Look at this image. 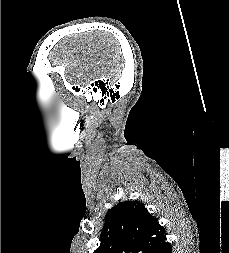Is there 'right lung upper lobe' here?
Returning a JSON list of instances; mask_svg holds the SVG:
<instances>
[{
	"mask_svg": "<svg viewBox=\"0 0 229 253\" xmlns=\"http://www.w3.org/2000/svg\"><path fill=\"white\" fill-rule=\"evenodd\" d=\"M166 240L157 218L138 201L119 202L106 217L94 253H154Z\"/></svg>",
	"mask_w": 229,
	"mask_h": 253,
	"instance_id": "cb5924a9",
	"label": "right lung upper lobe"
}]
</instances>
